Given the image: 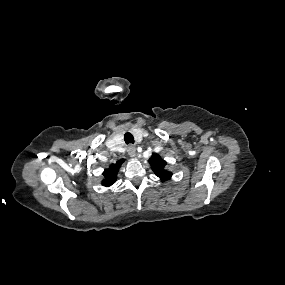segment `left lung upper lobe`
I'll return each mask as SVG.
<instances>
[{"instance_id":"left-lung-upper-lobe-1","label":"left lung upper lobe","mask_w":285,"mask_h":285,"mask_svg":"<svg viewBox=\"0 0 285 285\" xmlns=\"http://www.w3.org/2000/svg\"><path fill=\"white\" fill-rule=\"evenodd\" d=\"M149 160L152 164V169L154 173L161 180H168L171 178L172 173L165 169L166 162L162 160L158 154H153Z\"/></svg>"}]
</instances>
